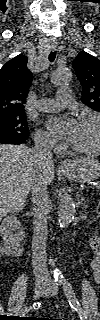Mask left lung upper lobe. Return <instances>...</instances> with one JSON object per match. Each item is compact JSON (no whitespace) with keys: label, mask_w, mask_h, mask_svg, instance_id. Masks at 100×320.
<instances>
[{"label":"left lung upper lobe","mask_w":100,"mask_h":320,"mask_svg":"<svg viewBox=\"0 0 100 320\" xmlns=\"http://www.w3.org/2000/svg\"><path fill=\"white\" fill-rule=\"evenodd\" d=\"M73 68L83 88L82 102L100 112V60L81 51Z\"/></svg>","instance_id":"obj_1"}]
</instances>
